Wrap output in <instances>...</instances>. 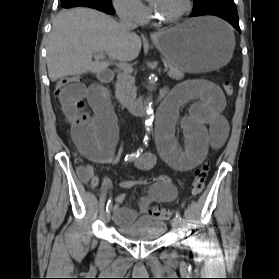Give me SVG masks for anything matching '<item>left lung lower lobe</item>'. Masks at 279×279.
<instances>
[{
    "label": "left lung lower lobe",
    "mask_w": 279,
    "mask_h": 279,
    "mask_svg": "<svg viewBox=\"0 0 279 279\" xmlns=\"http://www.w3.org/2000/svg\"><path fill=\"white\" fill-rule=\"evenodd\" d=\"M196 6L191 17L201 15H214L228 21L237 31L241 33L239 18L233 0H203Z\"/></svg>",
    "instance_id": "obj_1"
}]
</instances>
